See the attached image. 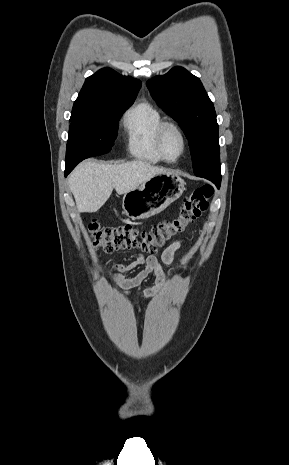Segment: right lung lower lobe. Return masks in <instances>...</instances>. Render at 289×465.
I'll list each match as a JSON object with an SVG mask.
<instances>
[{
    "mask_svg": "<svg viewBox=\"0 0 289 465\" xmlns=\"http://www.w3.org/2000/svg\"><path fill=\"white\" fill-rule=\"evenodd\" d=\"M79 162V160L66 162L65 176H67Z\"/></svg>",
    "mask_w": 289,
    "mask_h": 465,
    "instance_id": "obj_1",
    "label": "right lung lower lobe"
}]
</instances>
